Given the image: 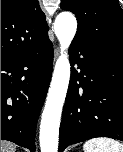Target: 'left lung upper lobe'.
<instances>
[{"label":"left lung upper lobe","mask_w":123,"mask_h":152,"mask_svg":"<svg viewBox=\"0 0 123 152\" xmlns=\"http://www.w3.org/2000/svg\"><path fill=\"white\" fill-rule=\"evenodd\" d=\"M77 17L74 39L123 58V10L118 0H62Z\"/></svg>","instance_id":"left-lung-upper-lobe-1"}]
</instances>
